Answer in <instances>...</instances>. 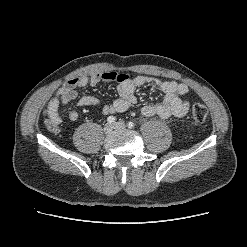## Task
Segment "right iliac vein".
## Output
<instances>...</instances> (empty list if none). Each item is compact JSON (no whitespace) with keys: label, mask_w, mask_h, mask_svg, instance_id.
<instances>
[{"label":"right iliac vein","mask_w":247,"mask_h":247,"mask_svg":"<svg viewBox=\"0 0 247 247\" xmlns=\"http://www.w3.org/2000/svg\"><path fill=\"white\" fill-rule=\"evenodd\" d=\"M112 130H113V126H112L110 123H107V124L104 126V132H105V133H110Z\"/></svg>","instance_id":"right-iliac-vein-1"}]
</instances>
